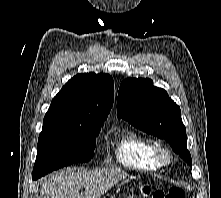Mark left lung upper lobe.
Returning <instances> with one entry per match:
<instances>
[{"label":"left lung upper lobe","mask_w":221,"mask_h":198,"mask_svg":"<svg viewBox=\"0 0 221 198\" xmlns=\"http://www.w3.org/2000/svg\"><path fill=\"white\" fill-rule=\"evenodd\" d=\"M117 114L119 119L128 121L134 127L165 139L175 153L192 165L180 107L165 90L154 87L152 80H124L118 92Z\"/></svg>","instance_id":"1"}]
</instances>
